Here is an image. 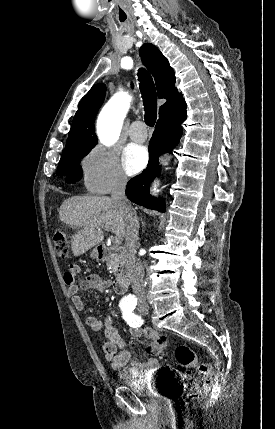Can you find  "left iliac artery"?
Returning a JSON list of instances; mask_svg holds the SVG:
<instances>
[{
    "mask_svg": "<svg viewBox=\"0 0 275 429\" xmlns=\"http://www.w3.org/2000/svg\"><path fill=\"white\" fill-rule=\"evenodd\" d=\"M133 310H134L133 306L123 307L122 308L123 319L129 326L138 328L142 325L143 321L140 316L135 315L133 313Z\"/></svg>",
    "mask_w": 275,
    "mask_h": 429,
    "instance_id": "44dca946",
    "label": "left iliac artery"
}]
</instances>
